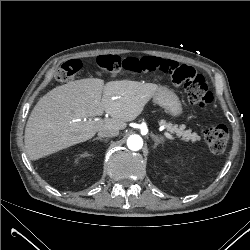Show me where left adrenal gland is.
<instances>
[{
	"label": "left adrenal gland",
	"instance_id": "obj_1",
	"mask_svg": "<svg viewBox=\"0 0 250 250\" xmlns=\"http://www.w3.org/2000/svg\"><path fill=\"white\" fill-rule=\"evenodd\" d=\"M151 137L154 140V146H153L154 148H156L158 144H160V143L163 142V138L162 137H158V136H156L153 133H151Z\"/></svg>",
	"mask_w": 250,
	"mask_h": 250
}]
</instances>
